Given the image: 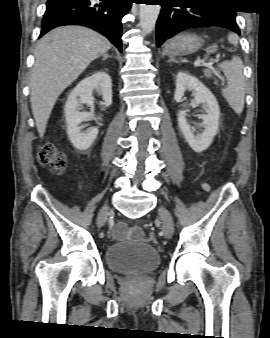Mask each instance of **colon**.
Returning <instances> with one entry per match:
<instances>
[{
  "label": "colon",
  "instance_id": "5ec220e1",
  "mask_svg": "<svg viewBox=\"0 0 270 338\" xmlns=\"http://www.w3.org/2000/svg\"><path fill=\"white\" fill-rule=\"evenodd\" d=\"M218 53V46L211 47L207 54L209 57L216 58ZM39 161L40 163L47 167V169L53 175L63 174L66 167V156L63 152L58 150L52 144H45L41 147L39 151ZM149 242L155 243L157 241L155 236H149L147 239Z\"/></svg>",
  "mask_w": 270,
  "mask_h": 338
}]
</instances>
